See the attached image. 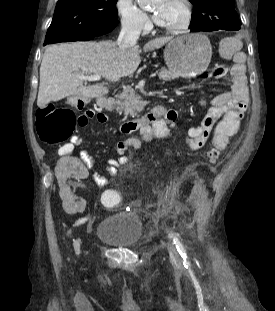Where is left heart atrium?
Here are the masks:
<instances>
[{
    "instance_id": "left-heart-atrium-1",
    "label": "left heart atrium",
    "mask_w": 275,
    "mask_h": 311,
    "mask_svg": "<svg viewBox=\"0 0 275 311\" xmlns=\"http://www.w3.org/2000/svg\"><path fill=\"white\" fill-rule=\"evenodd\" d=\"M153 19L157 24L161 25L162 15L158 11L154 12Z\"/></svg>"
}]
</instances>
